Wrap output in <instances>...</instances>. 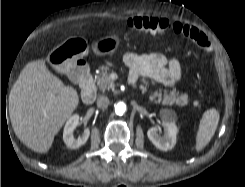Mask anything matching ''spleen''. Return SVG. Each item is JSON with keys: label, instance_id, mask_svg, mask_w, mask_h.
Segmentation results:
<instances>
[{"label": "spleen", "instance_id": "spleen-1", "mask_svg": "<svg viewBox=\"0 0 245 187\" xmlns=\"http://www.w3.org/2000/svg\"><path fill=\"white\" fill-rule=\"evenodd\" d=\"M219 118L220 114L214 108L203 113L196 133V151H201L210 142L217 129Z\"/></svg>", "mask_w": 245, "mask_h": 187}]
</instances>
